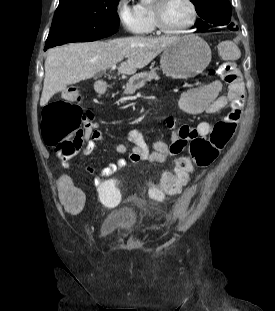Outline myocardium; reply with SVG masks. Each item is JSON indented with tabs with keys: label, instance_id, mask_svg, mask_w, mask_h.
I'll use <instances>...</instances> for the list:
<instances>
[{
	"label": "myocardium",
	"instance_id": "f54148a6",
	"mask_svg": "<svg viewBox=\"0 0 275 311\" xmlns=\"http://www.w3.org/2000/svg\"><path fill=\"white\" fill-rule=\"evenodd\" d=\"M168 1L169 0H155L152 6L155 27L158 29V31L166 35H178L187 32L195 24L197 20L198 12L195 2L193 0H185L191 11L190 20L181 28L169 29L164 25L162 20V8L164 4L167 3Z\"/></svg>",
	"mask_w": 275,
	"mask_h": 311
}]
</instances>
